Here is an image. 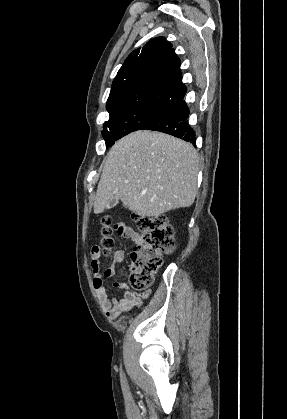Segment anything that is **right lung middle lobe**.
I'll return each instance as SVG.
<instances>
[{
    "label": "right lung middle lobe",
    "instance_id": "dd1d6c3e",
    "mask_svg": "<svg viewBox=\"0 0 287 419\" xmlns=\"http://www.w3.org/2000/svg\"><path fill=\"white\" fill-rule=\"evenodd\" d=\"M165 105H134L109 113V120L103 125L102 135L106 147L121 137L139 130L144 124L166 110Z\"/></svg>",
    "mask_w": 287,
    "mask_h": 419
}]
</instances>
